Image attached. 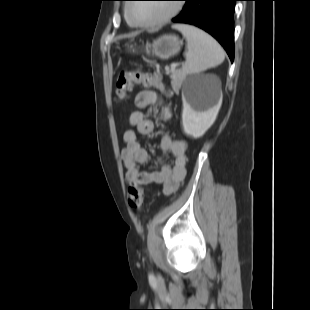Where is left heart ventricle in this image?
<instances>
[{
  "instance_id": "obj_1",
  "label": "left heart ventricle",
  "mask_w": 310,
  "mask_h": 310,
  "mask_svg": "<svg viewBox=\"0 0 310 310\" xmlns=\"http://www.w3.org/2000/svg\"><path fill=\"white\" fill-rule=\"evenodd\" d=\"M172 8L169 3H136L130 7L131 17L139 22H153L167 15Z\"/></svg>"
}]
</instances>
